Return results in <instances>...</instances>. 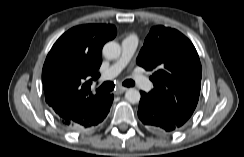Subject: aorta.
I'll return each instance as SVG.
<instances>
[{
	"instance_id": "762f6f07",
	"label": "aorta",
	"mask_w": 244,
	"mask_h": 157,
	"mask_svg": "<svg viewBox=\"0 0 244 157\" xmlns=\"http://www.w3.org/2000/svg\"><path fill=\"white\" fill-rule=\"evenodd\" d=\"M103 55L107 59H117L121 55V47L115 41L107 42L103 47ZM125 98L132 104L139 103L141 95L137 89L130 88L125 93Z\"/></svg>"
}]
</instances>
